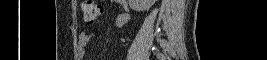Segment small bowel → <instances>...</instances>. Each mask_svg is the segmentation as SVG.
Listing matches in <instances>:
<instances>
[{
  "label": "small bowel",
  "mask_w": 267,
  "mask_h": 60,
  "mask_svg": "<svg viewBox=\"0 0 267 60\" xmlns=\"http://www.w3.org/2000/svg\"><path fill=\"white\" fill-rule=\"evenodd\" d=\"M119 4H121L125 9H127V1L125 0H120V1H116ZM131 20V17L128 13H122L117 17V25L119 26H123L126 25L127 23H129ZM96 35V33L92 32V33H88V32H83L80 34L79 36V41L81 44H85L87 43L90 39H92L94 36Z\"/></svg>",
  "instance_id": "obj_1"
}]
</instances>
